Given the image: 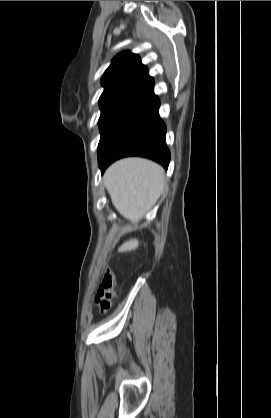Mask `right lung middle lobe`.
Here are the masks:
<instances>
[{
	"mask_svg": "<svg viewBox=\"0 0 271 418\" xmlns=\"http://www.w3.org/2000/svg\"><path fill=\"white\" fill-rule=\"evenodd\" d=\"M99 105L101 108L99 118L101 138L98 145V155L119 133L154 107L150 103L131 99L114 100Z\"/></svg>",
	"mask_w": 271,
	"mask_h": 418,
	"instance_id": "dd1d6c3e",
	"label": "right lung middle lobe"
}]
</instances>
